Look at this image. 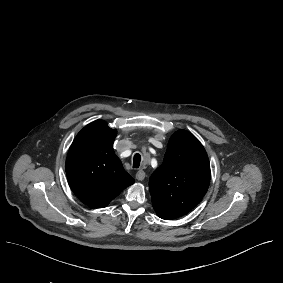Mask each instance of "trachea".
Here are the masks:
<instances>
[{
    "mask_svg": "<svg viewBox=\"0 0 283 283\" xmlns=\"http://www.w3.org/2000/svg\"><path fill=\"white\" fill-rule=\"evenodd\" d=\"M141 163V155L139 153H136L133 156V168H139Z\"/></svg>",
    "mask_w": 283,
    "mask_h": 283,
    "instance_id": "1",
    "label": "trachea"
}]
</instances>
